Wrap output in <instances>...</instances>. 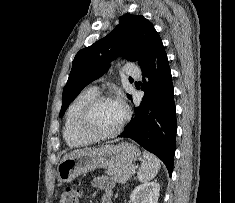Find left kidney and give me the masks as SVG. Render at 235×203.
Masks as SVG:
<instances>
[{
	"instance_id": "5707ae66",
	"label": "left kidney",
	"mask_w": 235,
	"mask_h": 203,
	"mask_svg": "<svg viewBox=\"0 0 235 203\" xmlns=\"http://www.w3.org/2000/svg\"><path fill=\"white\" fill-rule=\"evenodd\" d=\"M160 185L158 182H146L134 188L130 203H158Z\"/></svg>"
}]
</instances>
